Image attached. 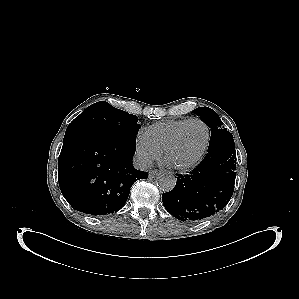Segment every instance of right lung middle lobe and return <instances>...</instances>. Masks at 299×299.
<instances>
[{
	"label": "right lung middle lobe",
	"instance_id": "dd1d6c3e",
	"mask_svg": "<svg viewBox=\"0 0 299 299\" xmlns=\"http://www.w3.org/2000/svg\"><path fill=\"white\" fill-rule=\"evenodd\" d=\"M138 117L119 110L105 101L85 109L68 126L65 136L71 134H116L136 137L140 124Z\"/></svg>",
	"mask_w": 299,
	"mask_h": 299
}]
</instances>
